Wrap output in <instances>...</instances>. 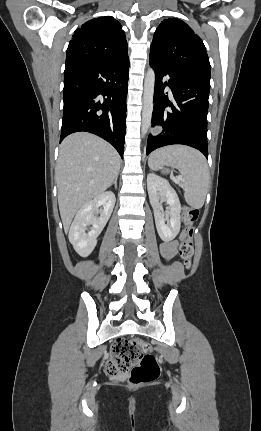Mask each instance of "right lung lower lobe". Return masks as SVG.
I'll return each instance as SVG.
<instances>
[{
	"instance_id": "obj_1",
	"label": "right lung lower lobe",
	"mask_w": 261,
	"mask_h": 431,
	"mask_svg": "<svg viewBox=\"0 0 261 431\" xmlns=\"http://www.w3.org/2000/svg\"><path fill=\"white\" fill-rule=\"evenodd\" d=\"M129 58L66 65L60 142L86 131L111 143L123 158Z\"/></svg>"
}]
</instances>
